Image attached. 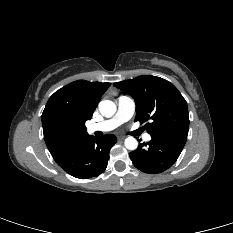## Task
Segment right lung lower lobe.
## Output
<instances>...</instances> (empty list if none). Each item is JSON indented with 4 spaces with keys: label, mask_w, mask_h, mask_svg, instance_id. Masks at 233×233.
I'll return each mask as SVG.
<instances>
[{
    "label": "right lung lower lobe",
    "mask_w": 233,
    "mask_h": 233,
    "mask_svg": "<svg viewBox=\"0 0 233 233\" xmlns=\"http://www.w3.org/2000/svg\"><path fill=\"white\" fill-rule=\"evenodd\" d=\"M116 142L113 134L100 138L91 136L56 162L76 178L86 179L98 176L106 169L109 151Z\"/></svg>",
    "instance_id": "obj_1"
}]
</instances>
